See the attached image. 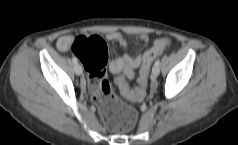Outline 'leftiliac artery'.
<instances>
[{
    "label": "left iliac artery",
    "mask_w": 238,
    "mask_h": 145,
    "mask_svg": "<svg viewBox=\"0 0 238 145\" xmlns=\"http://www.w3.org/2000/svg\"><path fill=\"white\" fill-rule=\"evenodd\" d=\"M159 64H160V59H157V60L155 61V65H158V66H159Z\"/></svg>",
    "instance_id": "44dca946"
}]
</instances>
